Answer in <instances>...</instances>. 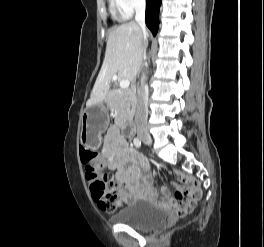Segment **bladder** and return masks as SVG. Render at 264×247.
Here are the masks:
<instances>
[{
	"instance_id": "bladder-1",
	"label": "bladder",
	"mask_w": 264,
	"mask_h": 247,
	"mask_svg": "<svg viewBox=\"0 0 264 247\" xmlns=\"http://www.w3.org/2000/svg\"><path fill=\"white\" fill-rule=\"evenodd\" d=\"M165 209L143 200H133L114 214L113 219L141 231H151L167 222Z\"/></svg>"
}]
</instances>
